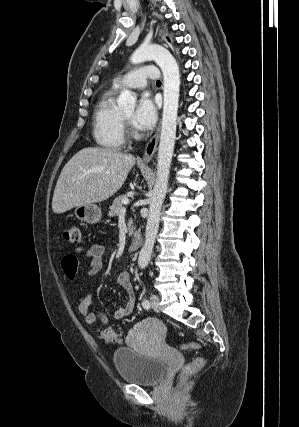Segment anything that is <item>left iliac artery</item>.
<instances>
[{"label":"left iliac artery","mask_w":299,"mask_h":427,"mask_svg":"<svg viewBox=\"0 0 299 427\" xmlns=\"http://www.w3.org/2000/svg\"><path fill=\"white\" fill-rule=\"evenodd\" d=\"M142 306H143L145 309H149V308H150V302H149L147 299H143V301H142Z\"/></svg>","instance_id":"obj_1"}]
</instances>
